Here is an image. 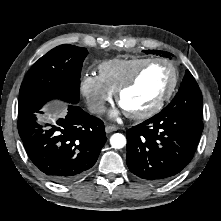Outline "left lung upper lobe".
I'll list each match as a JSON object with an SVG mask.
<instances>
[{"instance_id": "5c2ea615", "label": "left lung upper lobe", "mask_w": 221, "mask_h": 221, "mask_svg": "<svg viewBox=\"0 0 221 221\" xmlns=\"http://www.w3.org/2000/svg\"><path fill=\"white\" fill-rule=\"evenodd\" d=\"M158 50H148L147 53H159ZM175 111L182 112L186 115L193 116L202 120L203 118V98L192 74L186 70L185 76L181 83L178 93L167 106Z\"/></svg>"}]
</instances>
